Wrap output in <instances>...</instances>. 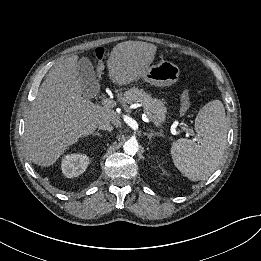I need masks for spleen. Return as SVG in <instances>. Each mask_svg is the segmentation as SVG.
I'll use <instances>...</instances> for the list:
<instances>
[{"label": "spleen", "mask_w": 261, "mask_h": 261, "mask_svg": "<svg viewBox=\"0 0 261 261\" xmlns=\"http://www.w3.org/2000/svg\"><path fill=\"white\" fill-rule=\"evenodd\" d=\"M195 130L198 143L181 138L173 142L174 165L192 181L206 180L219 167L227 144L225 109L220 100H212L200 109Z\"/></svg>", "instance_id": "spleen-1"}]
</instances>
